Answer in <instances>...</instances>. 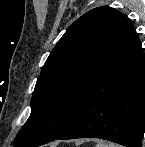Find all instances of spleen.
Returning <instances> with one entry per match:
<instances>
[{"label":"spleen","mask_w":145,"mask_h":147,"mask_svg":"<svg viewBox=\"0 0 145 147\" xmlns=\"http://www.w3.org/2000/svg\"><path fill=\"white\" fill-rule=\"evenodd\" d=\"M96 147H115V145L111 143H104V142H99Z\"/></svg>","instance_id":"1"}]
</instances>
